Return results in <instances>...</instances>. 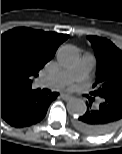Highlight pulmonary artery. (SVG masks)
<instances>
[{
	"instance_id": "1",
	"label": "pulmonary artery",
	"mask_w": 122,
	"mask_h": 154,
	"mask_svg": "<svg viewBox=\"0 0 122 154\" xmlns=\"http://www.w3.org/2000/svg\"><path fill=\"white\" fill-rule=\"evenodd\" d=\"M96 66V58L85 54L78 63L56 74L43 76L40 80L43 87L58 89L73 81L85 80Z\"/></svg>"
}]
</instances>
